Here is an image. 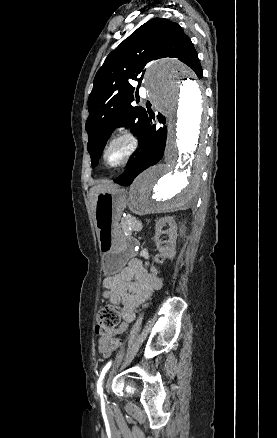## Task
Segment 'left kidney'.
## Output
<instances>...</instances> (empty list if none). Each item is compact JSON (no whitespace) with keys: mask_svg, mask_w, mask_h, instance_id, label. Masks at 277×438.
<instances>
[{"mask_svg":"<svg viewBox=\"0 0 277 438\" xmlns=\"http://www.w3.org/2000/svg\"><path fill=\"white\" fill-rule=\"evenodd\" d=\"M164 224H168V226H170V230H167V232H162L161 230ZM155 230L156 244L158 246L159 252H164L166 258H169V260H174V256H176L177 224L173 216L160 218V220L156 222ZM161 234H167L168 240H166V242H161V240H159ZM162 244H167V246H162Z\"/></svg>","mask_w":277,"mask_h":438,"instance_id":"obj_1","label":"left kidney"}]
</instances>
